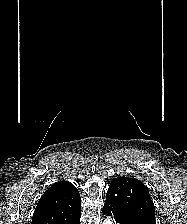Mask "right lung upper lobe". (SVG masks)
Segmentation results:
<instances>
[{
	"instance_id": "cb5924a9",
	"label": "right lung upper lobe",
	"mask_w": 187,
	"mask_h": 224,
	"mask_svg": "<svg viewBox=\"0 0 187 224\" xmlns=\"http://www.w3.org/2000/svg\"><path fill=\"white\" fill-rule=\"evenodd\" d=\"M81 212L78 190L67 181L53 184L42 195L36 206L32 224H67Z\"/></svg>"
}]
</instances>
